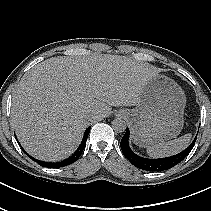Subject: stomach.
<instances>
[{
  "label": "stomach",
  "instance_id": "stomach-1",
  "mask_svg": "<svg viewBox=\"0 0 211 211\" xmlns=\"http://www.w3.org/2000/svg\"><path fill=\"white\" fill-rule=\"evenodd\" d=\"M186 97L167 76L156 74L145 85L136 107L118 112L128 122L132 140L148 147L179 135L183 128Z\"/></svg>",
  "mask_w": 211,
  "mask_h": 211
}]
</instances>
